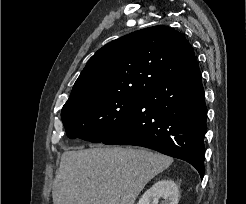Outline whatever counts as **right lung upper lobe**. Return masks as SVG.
<instances>
[{"label": "right lung upper lobe", "mask_w": 246, "mask_h": 204, "mask_svg": "<svg viewBox=\"0 0 246 204\" xmlns=\"http://www.w3.org/2000/svg\"><path fill=\"white\" fill-rule=\"evenodd\" d=\"M195 62L192 46L180 32L168 26L135 31L89 59L63 108L103 95L142 94Z\"/></svg>", "instance_id": "1"}]
</instances>
